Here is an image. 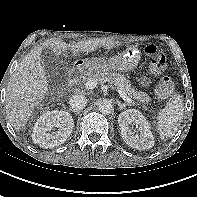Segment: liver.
I'll list each match as a JSON object with an SVG mask.
<instances>
[{
  "label": "liver",
  "instance_id": "1",
  "mask_svg": "<svg viewBox=\"0 0 197 197\" xmlns=\"http://www.w3.org/2000/svg\"><path fill=\"white\" fill-rule=\"evenodd\" d=\"M121 45L110 38L89 39L75 44H66L60 39H48L28 53L19 63L10 78L6 94V113L12 126L20 130L26 125L34 108L44 99L48 91V81L41 55L43 49H51L56 55L70 50L72 56L93 52L97 48L112 49Z\"/></svg>",
  "mask_w": 197,
  "mask_h": 197
}]
</instances>
